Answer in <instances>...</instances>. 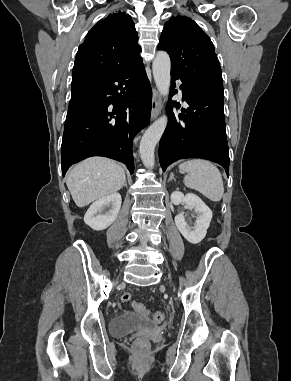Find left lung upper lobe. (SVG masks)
<instances>
[{
    "mask_svg": "<svg viewBox=\"0 0 291 381\" xmlns=\"http://www.w3.org/2000/svg\"><path fill=\"white\" fill-rule=\"evenodd\" d=\"M159 50L170 55L171 73L204 90H223L222 71L212 41L186 16L165 23Z\"/></svg>",
    "mask_w": 291,
    "mask_h": 381,
    "instance_id": "5c2ea615",
    "label": "left lung upper lobe"
}]
</instances>
